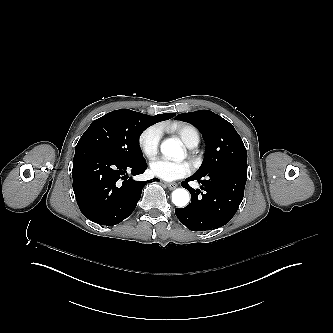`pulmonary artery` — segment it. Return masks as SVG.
<instances>
[{
    "label": "pulmonary artery",
    "mask_w": 333,
    "mask_h": 333,
    "mask_svg": "<svg viewBox=\"0 0 333 333\" xmlns=\"http://www.w3.org/2000/svg\"><path fill=\"white\" fill-rule=\"evenodd\" d=\"M196 146V144L194 143L192 146H191V148H194Z\"/></svg>",
    "instance_id": "obj_1"
}]
</instances>
